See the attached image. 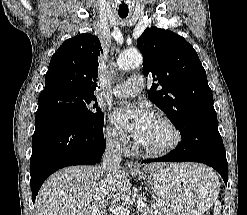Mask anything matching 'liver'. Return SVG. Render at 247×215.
Returning a JSON list of instances; mask_svg holds the SVG:
<instances>
[{"instance_id":"liver-1","label":"liver","mask_w":247,"mask_h":215,"mask_svg":"<svg viewBox=\"0 0 247 215\" xmlns=\"http://www.w3.org/2000/svg\"><path fill=\"white\" fill-rule=\"evenodd\" d=\"M165 165L152 163L145 165L144 170L152 172ZM197 166L183 164L190 173H195ZM208 171L213 173L209 168ZM128 178V173L119 169L115 181L110 182L100 166H71L59 170L44 182L38 193L37 215H105L106 208L115 207L126 198L131 186Z\"/></svg>"}]
</instances>
